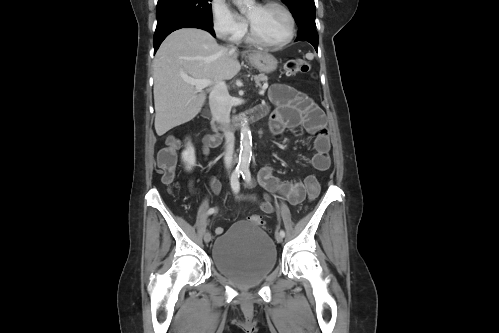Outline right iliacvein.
Segmentation results:
<instances>
[{
  "label": "right iliac vein",
  "mask_w": 499,
  "mask_h": 333,
  "mask_svg": "<svg viewBox=\"0 0 499 333\" xmlns=\"http://www.w3.org/2000/svg\"><path fill=\"white\" fill-rule=\"evenodd\" d=\"M210 240H211V234H210L209 232H206V233L204 234V241H205L206 243H209V242H210Z\"/></svg>",
  "instance_id": "obj_1"
}]
</instances>
